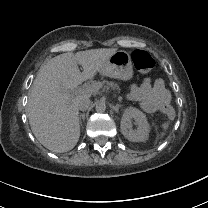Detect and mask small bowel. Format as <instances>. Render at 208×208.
<instances>
[{
  "mask_svg": "<svg viewBox=\"0 0 208 208\" xmlns=\"http://www.w3.org/2000/svg\"><path fill=\"white\" fill-rule=\"evenodd\" d=\"M129 97L139 102L147 113L160 111L162 106L170 102V94L161 78L154 81L149 77L144 78L141 85H133L130 88Z\"/></svg>",
  "mask_w": 208,
  "mask_h": 208,
  "instance_id": "1",
  "label": "small bowel"
}]
</instances>
